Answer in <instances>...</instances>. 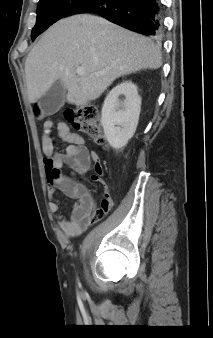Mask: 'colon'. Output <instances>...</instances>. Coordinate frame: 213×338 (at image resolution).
Here are the masks:
<instances>
[{"label":"colon","instance_id":"colon-1","mask_svg":"<svg viewBox=\"0 0 213 338\" xmlns=\"http://www.w3.org/2000/svg\"><path fill=\"white\" fill-rule=\"evenodd\" d=\"M67 121L76 129L82 131L89 140L96 143H104L105 137L102 123L98 110L93 106H77L69 108L66 112ZM99 171V168L96 169ZM46 174L50 181L56 180L60 175V169L51 161L50 166L46 170ZM93 180L97 181L98 176H93ZM111 204L108 200H102L99 208L96 210L95 218L100 220L104 218L110 211Z\"/></svg>","mask_w":213,"mask_h":338}]
</instances>
